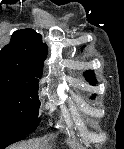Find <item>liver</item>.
I'll return each mask as SVG.
<instances>
[{
    "label": "liver",
    "instance_id": "liver-1",
    "mask_svg": "<svg viewBox=\"0 0 124 149\" xmlns=\"http://www.w3.org/2000/svg\"><path fill=\"white\" fill-rule=\"evenodd\" d=\"M32 147H38V146L37 145L30 146V145H27V144H23V145H20V146H17V147H12L11 149H35V148H32Z\"/></svg>",
    "mask_w": 124,
    "mask_h": 149
}]
</instances>
